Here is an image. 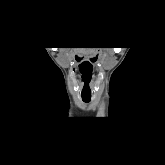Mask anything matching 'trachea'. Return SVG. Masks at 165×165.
<instances>
[{"mask_svg": "<svg viewBox=\"0 0 165 165\" xmlns=\"http://www.w3.org/2000/svg\"><path fill=\"white\" fill-rule=\"evenodd\" d=\"M84 102H86V103H88L89 102V100H83Z\"/></svg>", "mask_w": 165, "mask_h": 165, "instance_id": "obj_1", "label": "trachea"}]
</instances>
